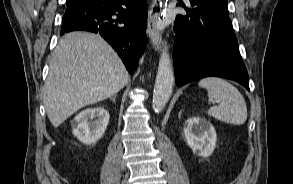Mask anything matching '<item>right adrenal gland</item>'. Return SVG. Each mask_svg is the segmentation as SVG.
I'll return each instance as SVG.
<instances>
[{"instance_id":"2a0ac1e0","label":"right adrenal gland","mask_w":293,"mask_h":184,"mask_svg":"<svg viewBox=\"0 0 293 184\" xmlns=\"http://www.w3.org/2000/svg\"><path fill=\"white\" fill-rule=\"evenodd\" d=\"M116 96L117 95H114V96H112L110 99L113 101V103H115L116 102Z\"/></svg>"}]
</instances>
